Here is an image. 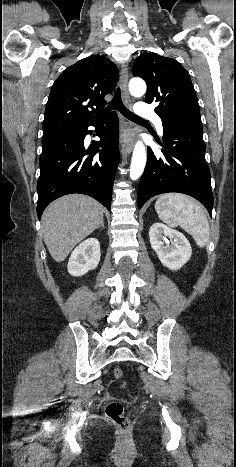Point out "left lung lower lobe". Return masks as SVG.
<instances>
[{"label": "left lung lower lobe", "instance_id": "obj_1", "mask_svg": "<svg viewBox=\"0 0 236 467\" xmlns=\"http://www.w3.org/2000/svg\"><path fill=\"white\" fill-rule=\"evenodd\" d=\"M165 148L148 158L141 177L137 204L140 209L151 197L168 192L190 195L212 214L210 170L205 160L202 124L185 122L163 125Z\"/></svg>", "mask_w": 236, "mask_h": 467}]
</instances>
